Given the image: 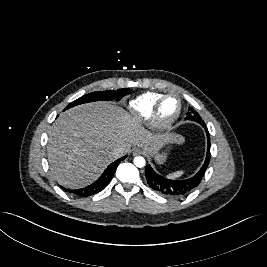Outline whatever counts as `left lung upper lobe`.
Wrapping results in <instances>:
<instances>
[{"instance_id":"1","label":"left lung upper lobe","mask_w":267,"mask_h":267,"mask_svg":"<svg viewBox=\"0 0 267 267\" xmlns=\"http://www.w3.org/2000/svg\"><path fill=\"white\" fill-rule=\"evenodd\" d=\"M185 119L204 123L203 121H201V117L197 113H194L193 115L191 113H187V116Z\"/></svg>"}]
</instances>
